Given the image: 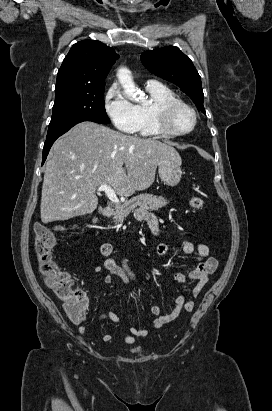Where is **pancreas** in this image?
Wrapping results in <instances>:
<instances>
[{
  "instance_id": "obj_1",
  "label": "pancreas",
  "mask_w": 272,
  "mask_h": 411,
  "mask_svg": "<svg viewBox=\"0 0 272 411\" xmlns=\"http://www.w3.org/2000/svg\"><path fill=\"white\" fill-rule=\"evenodd\" d=\"M168 204V201L153 194H140L126 201L122 205L115 206L113 221L115 224L122 223L129 213L137 207L140 209L158 210Z\"/></svg>"
}]
</instances>
